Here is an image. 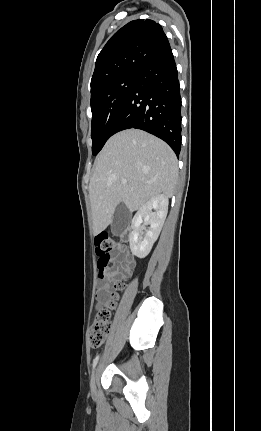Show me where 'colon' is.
<instances>
[{"label": "colon", "instance_id": "1", "mask_svg": "<svg viewBox=\"0 0 261 431\" xmlns=\"http://www.w3.org/2000/svg\"><path fill=\"white\" fill-rule=\"evenodd\" d=\"M96 253L98 256V268L101 275L105 268L112 262L119 250V244L109 237L107 234H99L95 239ZM116 291L123 287V280L117 279L113 285ZM113 300L110 301L106 308L98 311L94 317L90 329L88 331V342L91 347H100L106 340L111 328V312L114 307V300L117 298V293L112 294Z\"/></svg>", "mask_w": 261, "mask_h": 431}]
</instances>
